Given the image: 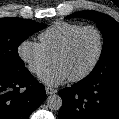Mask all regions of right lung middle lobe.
Here are the masks:
<instances>
[{
  "label": "right lung middle lobe",
  "mask_w": 119,
  "mask_h": 119,
  "mask_svg": "<svg viewBox=\"0 0 119 119\" xmlns=\"http://www.w3.org/2000/svg\"><path fill=\"white\" fill-rule=\"evenodd\" d=\"M45 27V24L29 19H0V71L24 68V62L18 55V46L30 35Z\"/></svg>",
  "instance_id": "obj_1"
}]
</instances>
